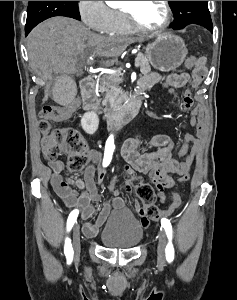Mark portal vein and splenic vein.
<instances>
[{
	"label": "portal vein and splenic vein",
	"mask_w": 237,
	"mask_h": 300,
	"mask_svg": "<svg viewBox=\"0 0 237 300\" xmlns=\"http://www.w3.org/2000/svg\"><path fill=\"white\" fill-rule=\"evenodd\" d=\"M139 65H140V62H138V61L136 60V61H135V64H133L134 69L137 70V69L139 68V67H138ZM121 79H122V78H121Z\"/></svg>",
	"instance_id": "obj_1"
}]
</instances>
